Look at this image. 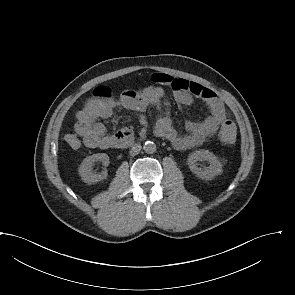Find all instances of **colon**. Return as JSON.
Listing matches in <instances>:
<instances>
[{
	"instance_id": "colon-1",
	"label": "colon",
	"mask_w": 295,
	"mask_h": 295,
	"mask_svg": "<svg viewBox=\"0 0 295 295\" xmlns=\"http://www.w3.org/2000/svg\"><path fill=\"white\" fill-rule=\"evenodd\" d=\"M94 96L100 100L112 97V91L107 87H98L94 90ZM72 140V137L70 138ZM220 140L225 145H232L236 140V126L232 121L223 123L220 129Z\"/></svg>"
}]
</instances>
